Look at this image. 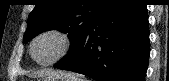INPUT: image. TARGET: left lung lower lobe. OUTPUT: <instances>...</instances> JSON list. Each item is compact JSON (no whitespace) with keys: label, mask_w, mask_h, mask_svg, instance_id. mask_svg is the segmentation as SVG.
I'll use <instances>...</instances> for the list:
<instances>
[{"label":"left lung lower lobe","mask_w":169,"mask_h":81,"mask_svg":"<svg viewBox=\"0 0 169 81\" xmlns=\"http://www.w3.org/2000/svg\"><path fill=\"white\" fill-rule=\"evenodd\" d=\"M143 0H111L58 69L98 81H144L150 54Z\"/></svg>","instance_id":"1"}]
</instances>
